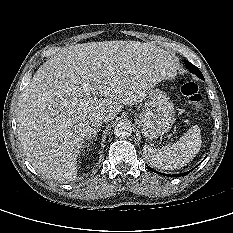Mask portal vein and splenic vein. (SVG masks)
<instances>
[{
    "label": "portal vein and splenic vein",
    "instance_id": "18ae733b",
    "mask_svg": "<svg viewBox=\"0 0 233 233\" xmlns=\"http://www.w3.org/2000/svg\"><path fill=\"white\" fill-rule=\"evenodd\" d=\"M86 91H88V92H89V91H90V88H86Z\"/></svg>",
    "mask_w": 233,
    "mask_h": 233
}]
</instances>
